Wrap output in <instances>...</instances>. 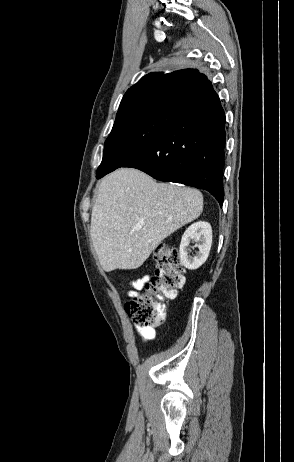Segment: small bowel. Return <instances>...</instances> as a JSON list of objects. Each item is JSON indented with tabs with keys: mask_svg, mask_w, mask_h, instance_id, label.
<instances>
[{
	"mask_svg": "<svg viewBox=\"0 0 294 462\" xmlns=\"http://www.w3.org/2000/svg\"><path fill=\"white\" fill-rule=\"evenodd\" d=\"M150 276L145 275L139 279L130 282V289L126 292L129 298H134L138 295V291L142 290L145 284L149 281ZM136 332L142 337L144 341L153 340L156 337V330L152 326L136 325Z\"/></svg>",
	"mask_w": 294,
	"mask_h": 462,
	"instance_id": "obj_1",
	"label": "small bowel"
}]
</instances>
